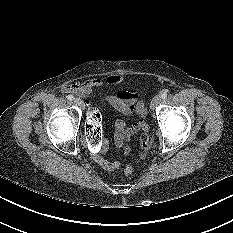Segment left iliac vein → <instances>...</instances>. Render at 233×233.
Instances as JSON below:
<instances>
[{"mask_svg": "<svg viewBox=\"0 0 233 233\" xmlns=\"http://www.w3.org/2000/svg\"><path fill=\"white\" fill-rule=\"evenodd\" d=\"M160 102H161V96L160 95L154 96L150 103V109L153 110Z\"/></svg>", "mask_w": 233, "mask_h": 233, "instance_id": "1", "label": "left iliac vein"}]
</instances>
